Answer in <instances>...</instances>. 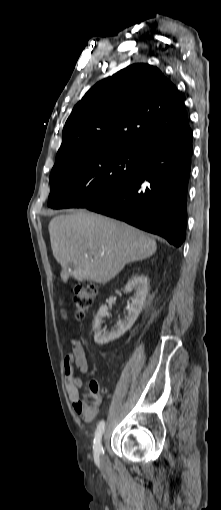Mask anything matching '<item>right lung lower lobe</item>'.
I'll return each instance as SVG.
<instances>
[{"instance_id":"right-lung-lower-lobe-1","label":"right lung lower lobe","mask_w":221,"mask_h":510,"mask_svg":"<svg viewBox=\"0 0 221 510\" xmlns=\"http://www.w3.org/2000/svg\"><path fill=\"white\" fill-rule=\"evenodd\" d=\"M192 152L191 129L151 143L144 149L138 172L124 186L85 208L181 246Z\"/></svg>"}]
</instances>
